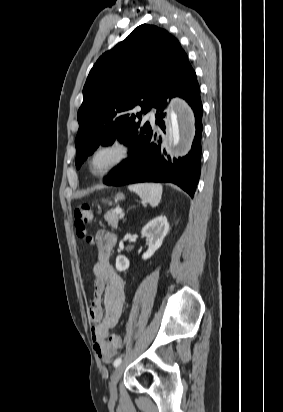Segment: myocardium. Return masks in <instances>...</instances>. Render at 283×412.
<instances>
[{"label": "myocardium", "mask_w": 283, "mask_h": 412, "mask_svg": "<svg viewBox=\"0 0 283 412\" xmlns=\"http://www.w3.org/2000/svg\"><path fill=\"white\" fill-rule=\"evenodd\" d=\"M114 150L117 153L116 158L105 168L96 170L93 166L95 157L104 151ZM132 149L128 142L120 138H115L96 145L87 156L86 165L88 171L96 177H103L117 168L121 167L131 156Z\"/></svg>", "instance_id": "f54148a6"}]
</instances>
